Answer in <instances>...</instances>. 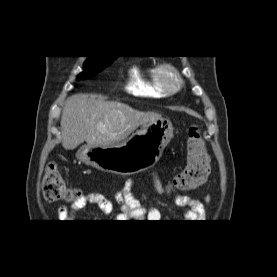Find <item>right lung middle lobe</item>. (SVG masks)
<instances>
[{
  "instance_id": "dd1d6c3e",
  "label": "right lung middle lobe",
  "mask_w": 277,
  "mask_h": 277,
  "mask_svg": "<svg viewBox=\"0 0 277 277\" xmlns=\"http://www.w3.org/2000/svg\"><path fill=\"white\" fill-rule=\"evenodd\" d=\"M113 59L88 58L84 63V71L79 75L80 78H90L95 76L108 66Z\"/></svg>"
}]
</instances>
